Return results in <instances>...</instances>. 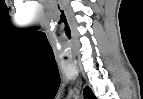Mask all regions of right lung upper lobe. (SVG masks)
Segmentation results:
<instances>
[{"mask_svg": "<svg viewBox=\"0 0 143 99\" xmlns=\"http://www.w3.org/2000/svg\"><path fill=\"white\" fill-rule=\"evenodd\" d=\"M85 93L88 94L90 99H96L95 95L93 94L92 90L89 87L85 88Z\"/></svg>", "mask_w": 143, "mask_h": 99, "instance_id": "right-lung-upper-lobe-1", "label": "right lung upper lobe"}]
</instances>
